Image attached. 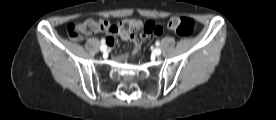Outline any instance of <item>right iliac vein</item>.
Wrapping results in <instances>:
<instances>
[{
	"mask_svg": "<svg viewBox=\"0 0 276 120\" xmlns=\"http://www.w3.org/2000/svg\"><path fill=\"white\" fill-rule=\"evenodd\" d=\"M106 49H107L106 45H101V46H100V50H101L102 52H105Z\"/></svg>",
	"mask_w": 276,
	"mask_h": 120,
	"instance_id": "1",
	"label": "right iliac vein"
}]
</instances>
